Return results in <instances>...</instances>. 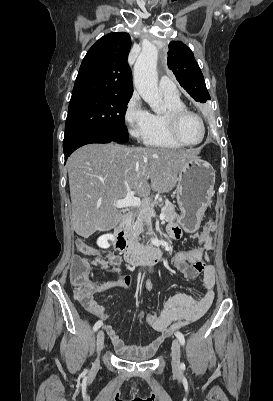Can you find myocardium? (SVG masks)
Here are the masks:
<instances>
[{
	"label": "myocardium",
	"instance_id": "myocardium-1",
	"mask_svg": "<svg viewBox=\"0 0 273 401\" xmlns=\"http://www.w3.org/2000/svg\"><path fill=\"white\" fill-rule=\"evenodd\" d=\"M185 115H193L199 119V121L202 125V129H203V136L200 141L195 142V143H188L180 137V135L178 133V124H179L180 120L182 119V117H184ZM164 118H165L167 129H168V132H169L171 138L184 147L199 146L207 138L208 129H207L206 121H205L204 117L201 114H199L198 112L187 109L186 107L167 108L166 111L164 112Z\"/></svg>",
	"mask_w": 273,
	"mask_h": 401
}]
</instances>
